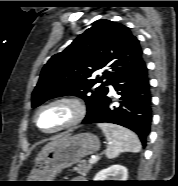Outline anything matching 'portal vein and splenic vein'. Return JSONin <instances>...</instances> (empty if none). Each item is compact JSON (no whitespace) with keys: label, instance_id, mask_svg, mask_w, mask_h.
Segmentation results:
<instances>
[{"label":"portal vein and splenic vein","instance_id":"1","mask_svg":"<svg viewBox=\"0 0 178 186\" xmlns=\"http://www.w3.org/2000/svg\"><path fill=\"white\" fill-rule=\"evenodd\" d=\"M97 159H98V156H92V157L89 159V164L95 163Z\"/></svg>","mask_w":178,"mask_h":186}]
</instances>
